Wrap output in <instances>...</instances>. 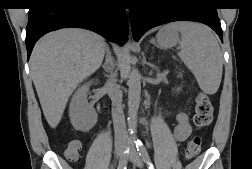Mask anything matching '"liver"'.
I'll return each mask as SVG.
<instances>
[{"label":"liver","mask_w":252,"mask_h":169,"mask_svg":"<svg viewBox=\"0 0 252 169\" xmlns=\"http://www.w3.org/2000/svg\"><path fill=\"white\" fill-rule=\"evenodd\" d=\"M106 42L85 29H61L43 36L34 46L30 71L51 128L59 124L70 95L102 64Z\"/></svg>","instance_id":"6515ba94"}]
</instances>
